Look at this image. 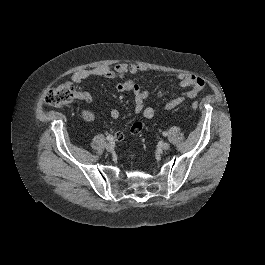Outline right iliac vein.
Returning <instances> with one entry per match:
<instances>
[{
	"label": "right iliac vein",
	"mask_w": 265,
	"mask_h": 265,
	"mask_svg": "<svg viewBox=\"0 0 265 265\" xmlns=\"http://www.w3.org/2000/svg\"><path fill=\"white\" fill-rule=\"evenodd\" d=\"M106 150L108 151V152H112L113 151V149H114V146H113V144H111V143H108V144H106Z\"/></svg>",
	"instance_id": "63e3f726"
}]
</instances>
